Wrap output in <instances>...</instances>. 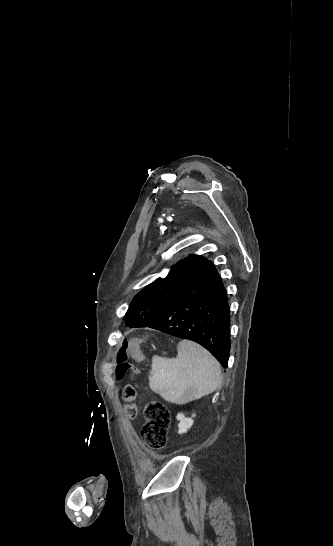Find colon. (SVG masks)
<instances>
[{"label":"colon","mask_w":333,"mask_h":546,"mask_svg":"<svg viewBox=\"0 0 333 546\" xmlns=\"http://www.w3.org/2000/svg\"><path fill=\"white\" fill-rule=\"evenodd\" d=\"M134 342L125 341L117 354L118 366L116 370L117 378L121 379L126 375L134 376L138 374V367L128 362L130 355L129 348ZM130 383L138 384L139 378L133 377L128 380ZM123 398L128 403H133L136 399V389L128 384L124 387ZM145 425L142 429V437L149 449L154 451L162 450L168 442V434L171 425V415L167 407L157 401L148 402L144 407Z\"/></svg>","instance_id":"obj_1"}]
</instances>
